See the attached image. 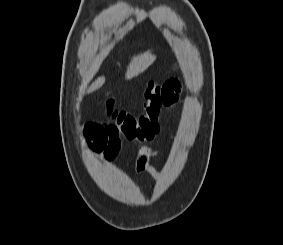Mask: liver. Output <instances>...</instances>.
Here are the masks:
<instances>
[{
    "mask_svg": "<svg viewBox=\"0 0 283 245\" xmlns=\"http://www.w3.org/2000/svg\"><path fill=\"white\" fill-rule=\"evenodd\" d=\"M156 60V56L152 55L149 51L144 52L143 54L134 56L131 59L127 67V72L125 78L127 80L132 79L133 77L138 76L143 73L154 61ZM105 83V77H98L89 87L88 92H93Z\"/></svg>",
    "mask_w": 283,
    "mask_h": 245,
    "instance_id": "1",
    "label": "liver"
}]
</instances>
